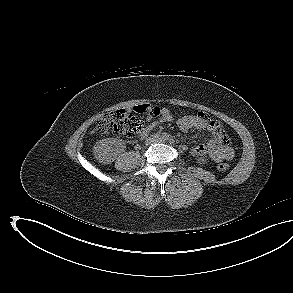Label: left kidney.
<instances>
[{
	"label": "left kidney",
	"instance_id": "1",
	"mask_svg": "<svg viewBox=\"0 0 293 293\" xmlns=\"http://www.w3.org/2000/svg\"><path fill=\"white\" fill-rule=\"evenodd\" d=\"M198 161H199L200 164H205L206 163V158L205 157H200L198 159Z\"/></svg>",
	"mask_w": 293,
	"mask_h": 293
}]
</instances>
